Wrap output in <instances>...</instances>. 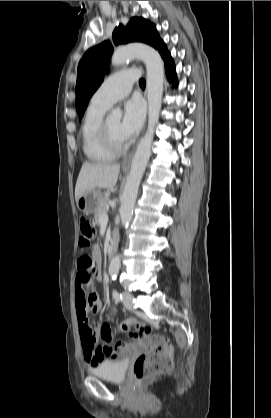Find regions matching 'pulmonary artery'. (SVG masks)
Instances as JSON below:
<instances>
[{
  "label": "pulmonary artery",
  "instance_id": "obj_1",
  "mask_svg": "<svg viewBox=\"0 0 271 418\" xmlns=\"http://www.w3.org/2000/svg\"><path fill=\"white\" fill-rule=\"evenodd\" d=\"M138 78L139 71L137 69H125L114 73L96 90L91 102L111 107L130 93L133 83Z\"/></svg>",
  "mask_w": 271,
  "mask_h": 418
}]
</instances>
